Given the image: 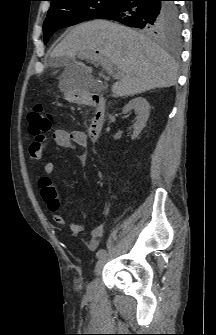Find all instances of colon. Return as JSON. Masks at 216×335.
I'll return each instance as SVG.
<instances>
[{
	"label": "colon",
	"instance_id": "colon-1",
	"mask_svg": "<svg viewBox=\"0 0 216 335\" xmlns=\"http://www.w3.org/2000/svg\"><path fill=\"white\" fill-rule=\"evenodd\" d=\"M29 133L35 139H42L44 133L49 131L53 123L52 114L46 112L41 106H37L28 114ZM42 196L46 201H52L54 192L51 187L45 188Z\"/></svg>",
	"mask_w": 216,
	"mask_h": 335
}]
</instances>
